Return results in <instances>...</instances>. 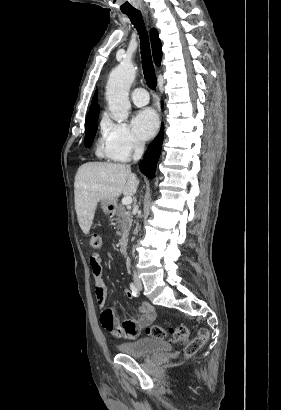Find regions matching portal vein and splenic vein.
<instances>
[{"label":"portal vein and splenic vein","mask_w":281,"mask_h":410,"mask_svg":"<svg viewBox=\"0 0 281 410\" xmlns=\"http://www.w3.org/2000/svg\"><path fill=\"white\" fill-rule=\"evenodd\" d=\"M122 204L126 206H130L132 203V198L130 196H126L122 199Z\"/></svg>","instance_id":"1"}]
</instances>
